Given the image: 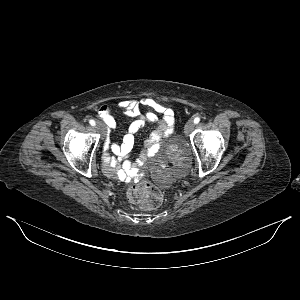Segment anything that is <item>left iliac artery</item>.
Here are the masks:
<instances>
[{
    "mask_svg": "<svg viewBox=\"0 0 300 300\" xmlns=\"http://www.w3.org/2000/svg\"><path fill=\"white\" fill-rule=\"evenodd\" d=\"M200 122V117H196L195 119H194V123L195 124H198Z\"/></svg>",
    "mask_w": 300,
    "mask_h": 300,
    "instance_id": "44dca946",
    "label": "left iliac artery"
}]
</instances>
